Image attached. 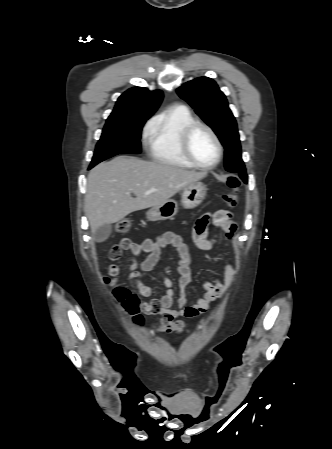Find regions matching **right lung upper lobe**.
Masks as SVG:
<instances>
[{"label": "right lung upper lobe", "instance_id": "1", "mask_svg": "<svg viewBox=\"0 0 332 449\" xmlns=\"http://www.w3.org/2000/svg\"><path fill=\"white\" fill-rule=\"evenodd\" d=\"M162 99L163 93L160 90L149 91L143 87L130 88L118 98L115 108L108 118L151 117Z\"/></svg>", "mask_w": 332, "mask_h": 449}]
</instances>
